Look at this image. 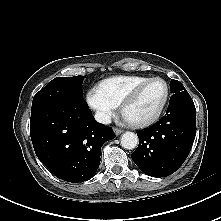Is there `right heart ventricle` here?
<instances>
[{"mask_svg":"<svg viewBox=\"0 0 221 221\" xmlns=\"http://www.w3.org/2000/svg\"><path fill=\"white\" fill-rule=\"evenodd\" d=\"M148 79L142 76H116L103 80L98 88L110 100L120 105L134 88Z\"/></svg>","mask_w":221,"mask_h":221,"instance_id":"e07e8e85","label":"right heart ventricle"}]
</instances>
